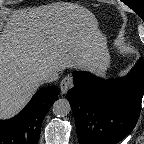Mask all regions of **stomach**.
I'll use <instances>...</instances> for the list:
<instances>
[{
  "instance_id": "0dacf381",
  "label": "stomach",
  "mask_w": 144,
  "mask_h": 144,
  "mask_svg": "<svg viewBox=\"0 0 144 144\" xmlns=\"http://www.w3.org/2000/svg\"><path fill=\"white\" fill-rule=\"evenodd\" d=\"M110 65V55L107 50L102 53L99 70L104 71Z\"/></svg>"
}]
</instances>
